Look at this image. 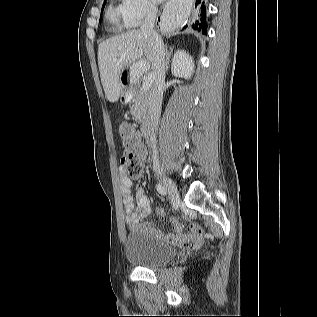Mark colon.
<instances>
[{
    "instance_id": "colon-1",
    "label": "colon",
    "mask_w": 317,
    "mask_h": 317,
    "mask_svg": "<svg viewBox=\"0 0 317 317\" xmlns=\"http://www.w3.org/2000/svg\"><path fill=\"white\" fill-rule=\"evenodd\" d=\"M124 146L122 164L128 176L135 178L142 172L141 145L131 126L121 123L119 127Z\"/></svg>"
}]
</instances>
